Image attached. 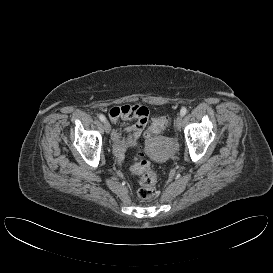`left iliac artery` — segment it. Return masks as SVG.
<instances>
[{"label":"left iliac artery","mask_w":273,"mask_h":273,"mask_svg":"<svg viewBox=\"0 0 273 273\" xmlns=\"http://www.w3.org/2000/svg\"><path fill=\"white\" fill-rule=\"evenodd\" d=\"M187 113V108L183 107L180 111V114L184 116Z\"/></svg>","instance_id":"left-iliac-artery-1"}]
</instances>
